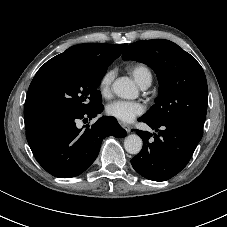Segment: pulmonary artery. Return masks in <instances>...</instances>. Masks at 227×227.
I'll return each mask as SVG.
<instances>
[{
    "mask_svg": "<svg viewBox=\"0 0 227 227\" xmlns=\"http://www.w3.org/2000/svg\"><path fill=\"white\" fill-rule=\"evenodd\" d=\"M148 87H149V86L146 85V86H143L142 89H146V88H148Z\"/></svg>",
    "mask_w": 227,
    "mask_h": 227,
    "instance_id": "pulmonary-artery-1",
    "label": "pulmonary artery"
}]
</instances>
